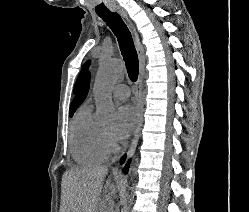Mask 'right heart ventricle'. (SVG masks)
<instances>
[{"mask_svg":"<svg viewBox=\"0 0 249 212\" xmlns=\"http://www.w3.org/2000/svg\"><path fill=\"white\" fill-rule=\"evenodd\" d=\"M101 130L91 116L90 107H80L71 121L69 135L70 153L75 162L91 165L102 163L106 159Z\"/></svg>","mask_w":249,"mask_h":212,"instance_id":"right-heart-ventricle-1","label":"right heart ventricle"}]
</instances>
